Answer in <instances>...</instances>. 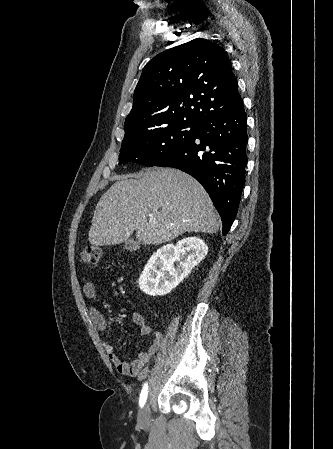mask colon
Returning a JSON list of instances; mask_svg holds the SVG:
<instances>
[{"label":"colon","mask_w":333,"mask_h":449,"mask_svg":"<svg viewBox=\"0 0 333 449\" xmlns=\"http://www.w3.org/2000/svg\"><path fill=\"white\" fill-rule=\"evenodd\" d=\"M102 255V251L99 247L89 245L84 248L81 254V261L86 265L96 264Z\"/></svg>","instance_id":"1"}]
</instances>
